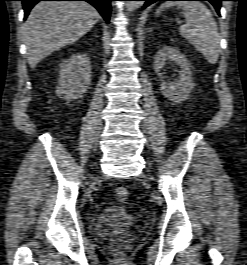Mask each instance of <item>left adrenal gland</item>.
<instances>
[{
  "label": "left adrenal gland",
  "mask_w": 247,
  "mask_h": 265,
  "mask_svg": "<svg viewBox=\"0 0 247 265\" xmlns=\"http://www.w3.org/2000/svg\"><path fill=\"white\" fill-rule=\"evenodd\" d=\"M153 30V28H150L149 32H151Z\"/></svg>",
  "instance_id": "a2214340"
}]
</instances>
